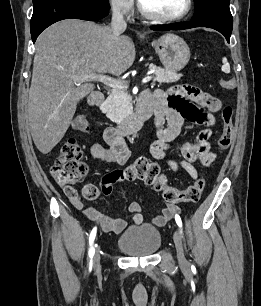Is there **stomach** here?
I'll return each mask as SVG.
<instances>
[{
    "mask_svg": "<svg viewBox=\"0 0 261 306\" xmlns=\"http://www.w3.org/2000/svg\"><path fill=\"white\" fill-rule=\"evenodd\" d=\"M154 47L165 69L180 71L190 59V50L186 42L173 33H167L154 40Z\"/></svg>",
    "mask_w": 261,
    "mask_h": 306,
    "instance_id": "stomach-1",
    "label": "stomach"
}]
</instances>
